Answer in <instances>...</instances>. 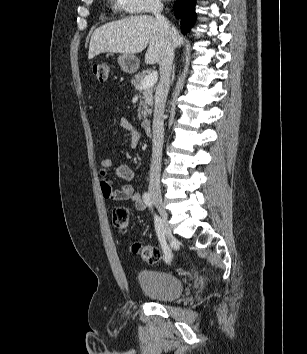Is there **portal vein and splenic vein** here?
Here are the masks:
<instances>
[{
  "label": "portal vein and splenic vein",
  "mask_w": 307,
  "mask_h": 354,
  "mask_svg": "<svg viewBox=\"0 0 307 354\" xmlns=\"http://www.w3.org/2000/svg\"><path fill=\"white\" fill-rule=\"evenodd\" d=\"M157 80L158 73L156 71H153L141 81V89H148L150 87H153Z\"/></svg>",
  "instance_id": "1"
}]
</instances>
